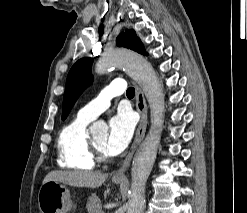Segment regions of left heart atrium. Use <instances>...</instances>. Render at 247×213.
Returning a JSON list of instances; mask_svg holds the SVG:
<instances>
[{
  "instance_id": "1",
  "label": "left heart atrium",
  "mask_w": 247,
  "mask_h": 213,
  "mask_svg": "<svg viewBox=\"0 0 247 213\" xmlns=\"http://www.w3.org/2000/svg\"><path fill=\"white\" fill-rule=\"evenodd\" d=\"M135 123L130 113L120 111L109 120V133L105 142L108 155L121 153L129 144Z\"/></svg>"
}]
</instances>
